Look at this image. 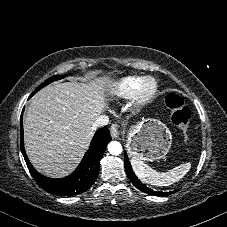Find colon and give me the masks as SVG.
<instances>
[{"label": "colon", "mask_w": 227, "mask_h": 227, "mask_svg": "<svg viewBox=\"0 0 227 227\" xmlns=\"http://www.w3.org/2000/svg\"><path fill=\"white\" fill-rule=\"evenodd\" d=\"M166 104L171 112L173 123L180 130L183 137L187 139L191 112L184 99L177 93H170L167 96Z\"/></svg>", "instance_id": "obj_1"}]
</instances>
